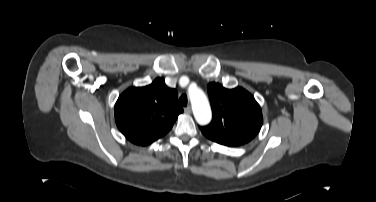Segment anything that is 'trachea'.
<instances>
[{
  "mask_svg": "<svg viewBox=\"0 0 376 202\" xmlns=\"http://www.w3.org/2000/svg\"><path fill=\"white\" fill-rule=\"evenodd\" d=\"M187 102H188L187 96L185 94L181 95V97L179 98V104L185 107L187 106Z\"/></svg>",
  "mask_w": 376,
  "mask_h": 202,
  "instance_id": "3493384b",
  "label": "trachea"
}]
</instances>
